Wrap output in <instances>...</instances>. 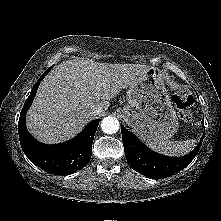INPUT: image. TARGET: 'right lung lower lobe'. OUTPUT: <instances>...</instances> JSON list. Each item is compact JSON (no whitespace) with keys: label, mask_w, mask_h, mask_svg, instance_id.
Masks as SVG:
<instances>
[{"label":"right lung lower lobe","mask_w":221,"mask_h":221,"mask_svg":"<svg viewBox=\"0 0 221 221\" xmlns=\"http://www.w3.org/2000/svg\"><path fill=\"white\" fill-rule=\"evenodd\" d=\"M50 69L44 72L35 83L23 106L18 122L19 140L25 155L33 164L52 174H70L83 168L89 162L92 155V142L99 120L90 122L72 140L56 145L39 143L27 132L26 112L33 102L41 80Z\"/></svg>","instance_id":"98d812e1"}]
</instances>
